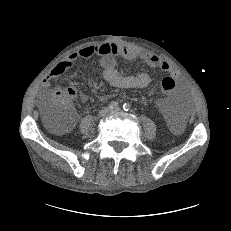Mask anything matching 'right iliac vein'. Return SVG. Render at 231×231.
Wrapping results in <instances>:
<instances>
[{
	"label": "right iliac vein",
	"instance_id": "right-iliac-vein-1",
	"mask_svg": "<svg viewBox=\"0 0 231 231\" xmlns=\"http://www.w3.org/2000/svg\"><path fill=\"white\" fill-rule=\"evenodd\" d=\"M108 112H109V109L108 108H104V109L100 110L98 116L99 117H104Z\"/></svg>",
	"mask_w": 231,
	"mask_h": 231
}]
</instances>
